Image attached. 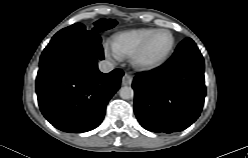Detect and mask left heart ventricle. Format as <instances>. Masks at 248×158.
Here are the masks:
<instances>
[{"mask_svg": "<svg viewBox=\"0 0 248 158\" xmlns=\"http://www.w3.org/2000/svg\"><path fill=\"white\" fill-rule=\"evenodd\" d=\"M171 38L167 33L156 34L149 43L148 49L144 56L147 61L155 60L163 55L169 48Z\"/></svg>", "mask_w": 248, "mask_h": 158, "instance_id": "1", "label": "left heart ventricle"}]
</instances>
